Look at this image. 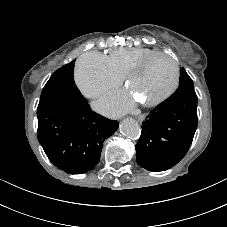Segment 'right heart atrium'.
<instances>
[{
    "label": "right heart atrium",
    "instance_id": "right-heart-atrium-1",
    "mask_svg": "<svg viewBox=\"0 0 227 227\" xmlns=\"http://www.w3.org/2000/svg\"><path fill=\"white\" fill-rule=\"evenodd\" d=\"M74 77L78 88L88 98H97L122 82L108 57L97 51H88L79 57Z\"/></svg>",
    "mask_w": 227,
    "mask_h": 227
}]
</instances>
